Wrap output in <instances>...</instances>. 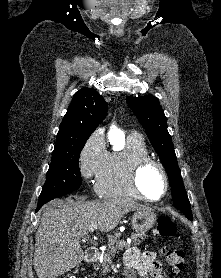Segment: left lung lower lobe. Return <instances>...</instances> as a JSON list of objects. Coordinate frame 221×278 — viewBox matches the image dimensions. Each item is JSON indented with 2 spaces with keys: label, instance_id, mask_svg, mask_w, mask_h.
Instances as JSON below:
<instances>
[{
  "label": "left lung lower lobe",
  "instance_id": "1",
  "mask_svg": "<svg viewBox=\"0 0 221 278\" xmlns=\"http://www.w3.org/2000/svg\"><path fill=\"white\" fill-rule=\"evenodd\" d=\"M183 212V211H182ZM185 214V216L189 219V220H193V216L191 212H183Z\"/></svg>",
  "mask_w": 221,
  "mask_h": 278
}]
</instances>
